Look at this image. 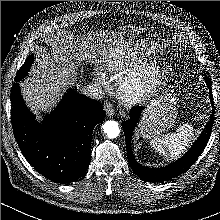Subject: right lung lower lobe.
I'll return each mask as SVG.
<instances>
[{
    "mask_svg": "<svg viewBox=\"0 0 220 220\" xmlns=\"http://www.w3.org/2000/svg\"><path fill=\"white\" fill-rule=\"evenodd\" d=\"M10 98L16 141L34 169L58 183L84 175L91 160L93 129L104 120L101 103L69 91L39 123L25 106L18 83L12 86Z\"/></svg>",
    "mask_w": 220,
    "mask_h": 220,
    "instance_id": "right-lung-lower-lobe-1",
    "label": "right lung lower lobe"
}]
</instances>
